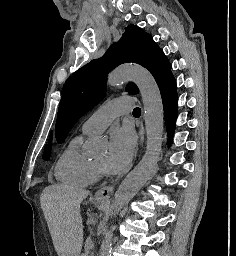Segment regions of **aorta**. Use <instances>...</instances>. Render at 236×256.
Here are the masks:
<instances>
[{
    "mask_svg": "<svg viewBox=\"0 0 236 256\" xmlns=\"http://www.w3.org/2000/svg\"><path fill=\"white\" fill-rule=\"evenodd\" d=\"M127 81H133L138 86L142 96L145 110L147 144L145 154L141 161L126 176L115 193L112 211V216L114 217L149 180L159 161L163 139V104L155 79L141 66L122 65L109 74L107 84L114 87ZM114 229L115 226L112 225L104 233L100 256H111Z\"/></svg>",
    "mask_w": 236,
    "mask_h": 256,
    "instance_id": "obj_1",
    "label": "aorta"
}]
</instances>
